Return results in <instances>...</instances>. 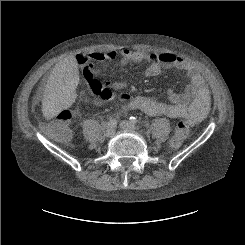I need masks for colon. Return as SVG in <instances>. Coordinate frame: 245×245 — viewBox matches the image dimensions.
<instances>
[{"instance_id": "obj_1", "label": "colon", "mask_w": 245, "mask_h": 245, "mask_svg": "<svg viewBox=\"0 0 245 245\" xmlns=\"http://www.w3.org/2000/svg\"><path fill=\"white\" fill-rule=\"evenodd\" d=\"M78 62L83 65V72L85 74H90V69L94 67L93 63L88 62V59L82 58L81 55H75ZM91 87L96 93H103L105 97H109L111 92L107 87L102 86L95 80H91ZM72 115L69 110L63 109L61 110L55 119L44 125V131L52 138L56 140H65L71 136V131L68 128V123L71 119ZM190 134V128L187 124V121L181 119L173 134L169 140V147L172 150H178L182 147L185 140L188 138Z\"/></svg>"}]
</instances>
